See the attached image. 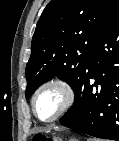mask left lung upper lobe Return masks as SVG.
Instances as JSON below:
<instances>
[{
    "label": "left lung upper lobe",
    "instance_id": "left-lung-upper-lobe-1",
    "mask_svg": "<svg viewBox=\"0 0 119 141\" xmlns=\"http://www.w3.org/2000/svg\"><path fill=\"white\" fill-rule=\"evenodd\" d=\"M119 11V0H51L37 22L26 66V98L54 76L79 88L98 36Z\"/></svg>",
    "mask_w": 119,
    "mask_h": 141
}]
</instances>
